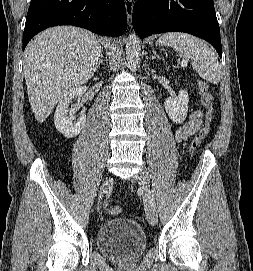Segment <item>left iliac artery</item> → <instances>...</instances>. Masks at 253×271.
I'll return each instance as SVG.
<instances>
[{"label":"left iliac artery","instance_id":"obj_1","mask_svg":"<svg viewBox=\"0 0 253 271\" xmlns=\"http://www.w3.org/2000/svg\"><path fill=\"white\" fill-rule=\"evenodd\" d=\"M150 193H151V192H150ZM152 193H153V192H152ZM151 196H152V200L155 202V200H154V195L152 194Z\"/></svg>","mask_w":253,"mask_h":271}]
</instances>
